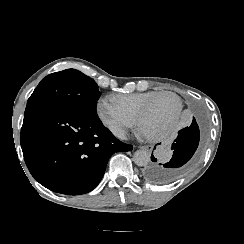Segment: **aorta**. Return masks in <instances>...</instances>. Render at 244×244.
Segmentation results:
<instances>
[{
    "label": "aorta",
    "instance_id": "obj_1",
    "mask_svg": "<svg viewBox=\"0 0 244 244\" xmlns=\"http://www.w3.org/2000/svg\"><path fill=\"white\" fill-rule=\"evenodd\" d=\"M150 152L148 150H137L133 155V160L138 166H146L150 162Z\"/></svg>",
    "mask_w": 244,
    "mask_h": 244
}]
</instances>
